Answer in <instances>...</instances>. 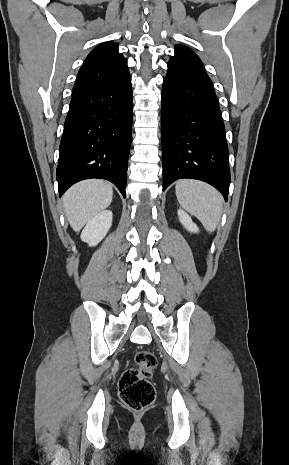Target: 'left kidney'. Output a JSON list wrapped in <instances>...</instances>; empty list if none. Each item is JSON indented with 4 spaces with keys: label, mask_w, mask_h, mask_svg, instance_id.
Here are the masks:
<instances>
[{
    "label": "left kidney",
    "mask_w": 289,
    "mask_h": 465,
    "mask_svg": "<svg viewBox=\"0 0 289 465\" xmlns=\"http://www.w3.org/2000/svg\"><path fill=\"white\" fill-rule=\"evenodd\" d=\"M178 217L181 222V224L190 232L192 233H198L199 228L195 223H193L191 217L184 212L183 210H178Z\"/></svg>",
    "instance_id": "left-kidney-1"
}]
</instances>
